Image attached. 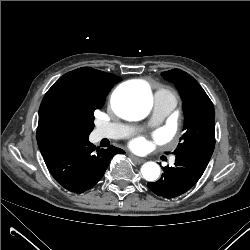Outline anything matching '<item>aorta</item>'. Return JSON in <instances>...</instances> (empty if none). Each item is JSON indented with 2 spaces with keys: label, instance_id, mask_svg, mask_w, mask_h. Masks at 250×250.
Here are the masks:
<instances>
[{
  "label": "aorta",
  "instance_id": "obj_1",
  "mask_svg": "<svg viewBox=\"0 0 250 250\" xmlns=\"http://www.w3.org/2000/svg\"><path fill=\"white\" fill-rule=\"evenodd\" d=\"M115 111L128 120L145 118L152 105V96L146 84H125L116 89L113 99ZM141 173L147 181H154L160 175V167L155 162H146Z\"/></svg>",
  "mask_w": 250,
  "mask_h": 250
}]
</instances>
